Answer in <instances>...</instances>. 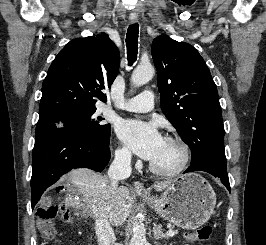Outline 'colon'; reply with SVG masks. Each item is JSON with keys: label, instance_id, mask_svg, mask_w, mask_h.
Here are the masks:
<instances>
[{"label": "colon", "instance_id": "colon-1", "mask_svg": "<svg viewBox=\"0 0 266 245\" xmlns=\"http://www.w3.org/2000/svg\"><path fill=\"white\" fill-rule=\"evenodd\" d=\"M57 208L54 205L39 207L36 211L38 229L44 239V245H58L54 225ZM212 234V227L208 224L195 230L191 236L200 242L207 241Z\"/></svg>", "mask_w": 266, "mask_h": 245}]
</instances>
